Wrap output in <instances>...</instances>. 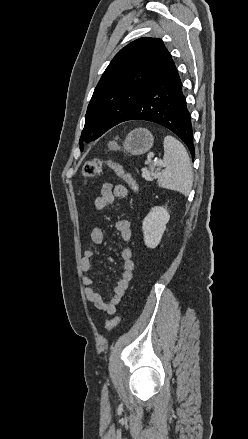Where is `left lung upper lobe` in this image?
Returning a JSON list of instances; mask_svg holds the SVG:
<instances>
[{
    "instance_id": "obj_1",
    "label": "left lung upper lobe",
    "mask_w": 248,
    "mask_h": 439,
    "mask_svg": "<svg viewBox=\"0 0 248 439\" xmlns=\"http://www.w3.org/2000/svg\"><path fill=\"white\" fill-rule=\"evenodd\" d=\"M162 40L140 38L122 48L98 82L85 115L80 143L99 138L134 108L171 60ZM81 150L83 147H80Z\"/></svg>"
}]
</instances>
